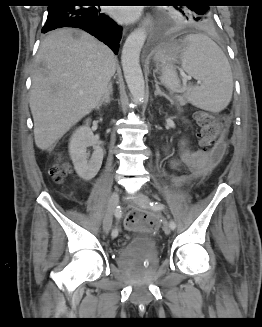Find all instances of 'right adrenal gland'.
I'll list each match as a JSON object with an SVG mask.
<instances>
[{
  "mask_svg": "<svg viewBox=\"0 0 262 327\" xmlns=\"http://www.w3.org/2000/svg\"><path fill=\"white\" fill-rule=\"evenodd\" d=\"M112 93H113L112 83H110L103 98L101 99L100 103L98 104L97 109H99L102 105H107L111 102Z\"/></svg>",
  "mask_w": 262,
  "mask_h": 327,
  "instance_id": "right-adrenal-gland-1",
  "label": "right adrenal gland"
}]
</instances>
